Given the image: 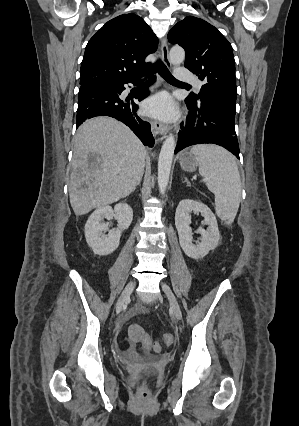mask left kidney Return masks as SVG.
Masks as SVG:
<instances>
[{
  "label": "left kidney",
  "mask_w": 299,
  "mask_h": 426,
  "mask_svg": "<svg viewBox=\"0 0 299 426\" xmlns=\"http://www.w3.org/2000/svg\"><path fill=\"white\" fill-rule=\"evenodd\" d=\"M192 212L201 213L204 217L203 224L208 225L206 230L202 227L198 229V233L201 234V242L196 245L192 243L193 233L190 228ZM175 226L180 246L188 257L203 258L210 250H214L218 246L220 233L216 217L210 208L200 201L191 199L180 201L175 213Z\"/></svg>",
  "instance_id": "obj_1"
}]
</instances>
